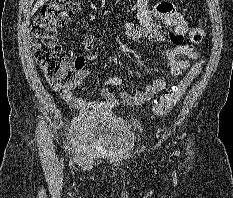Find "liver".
<instances>
[{
    "instance_id": "liver-1",
    "label": "liver",
    "mask_w": 233,
    "mask_h": 198,
    "mask_svg": "<svg viewBox=\"0 0 233 198\" xmlns=\"http://www.w3.org/2000/svg\"><path fill=\"white\" fill-rule=\"evenodd\" d=\"M48 0H37L33 10H32V15L41 7L43 6Z\"/></svg>"
}]
</instances>
